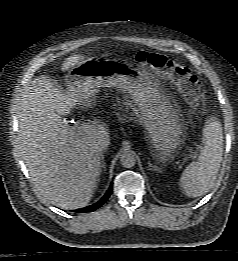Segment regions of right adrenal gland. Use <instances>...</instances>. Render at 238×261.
<instances>
[{
  "label": "right adrenal gland",
  "instance_id": "2a0ac1e0",
  "mask_svg": "<svg viewBox=\"0 0 238 261\" xmlns=\"http://www.w3.org/2000/svg\"><path fill=\"white\" fill-rule=\"evenodd\" d=\"M106 170V162L104 159V154L101 153V172Z\"/></svg>",
  "mask_w": 238,
  "mask_h": 261
}]
</instances>
